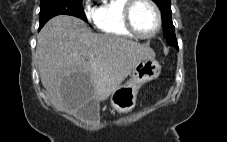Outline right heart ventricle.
<instances>
[{
	"mask_svg": "<svg viewBox=\"0 0 227 142\" xmlns=\"http://www.w3.org/2000/svg\"><path fill=\"white\" fill-rule=\"evenodd\" d=\"M127 0H105L96 9L94 24L107 35L132 38L123 21V8Z\"/></svg>",
	"mask_w": 227,
	"mask_h": 142,
	"instance_id": "1",
	"label": "right heart ventricle"
}]
</instances>
